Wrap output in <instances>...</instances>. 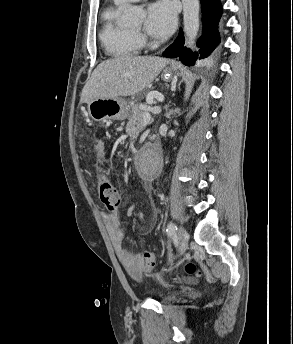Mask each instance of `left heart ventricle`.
I'll list each match as a JSON object with an SVG mask.
<instances>
[{
	"instance_id": "left-heart-ventricle-1",
	"label": "left heart ventricle",
	"mask_w": 293,
	"mask_h": 344,
	"mask_svg": "<svg viewBox=\"0 0 293 344\" xmlns=\"http://www.w3.org/2000/svg\"><path fill=\"white\" fill-rule=\"evenodd\" d=\"M141 24H142V23H140L137 27H135V28L133 29V31H135V32L140 31V29H141Z\"/></svg>"
}]
</instances>
